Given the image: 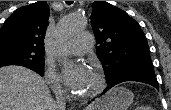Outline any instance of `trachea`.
<instances>
[{"mask_svg": "<svg viewBox=\"0 0 171 110\" xmlns=\"http://www.w3.org/2000/svg\"><path fill=\"white\" fill-rule=\"evenodd\" d=\"M66 3L70 5L73 3V1H66Z\"/></svg>", "mask_w": 171, "mask_h": 110, "instance_id": "trachea-1", "label": "trachea"}]
</instances>
